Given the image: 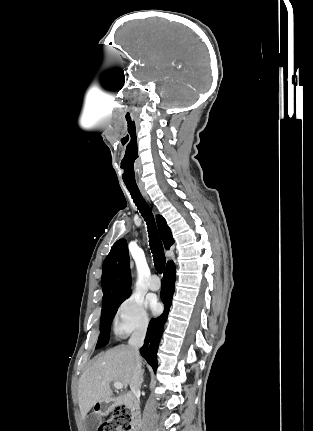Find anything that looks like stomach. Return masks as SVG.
Segmentation results:
<instances>
[{
	"label": "stomach",
	"instance_id": "obj_1",
	"mask_svg": "<svg viewBox=\"0 0 313 431\" xmlns=\"http://www.w3.org/2000/svg\"><path fill=\"white\" fill-rule=\"evenodd\" d=\"M99 412H101L104 409V404L98 403Z\"/></svg>",
	"mask_w": 313,
	"mask_h": 431
}]
</instances>
